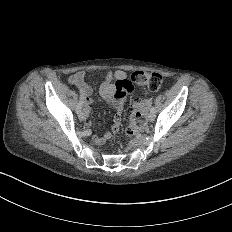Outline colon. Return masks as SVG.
Instances as JSON below:
<instances>
[{
    "label": "colon",
    "mask_w": 232,
    "mask_h": 232,
    "mask_svg": "<svg viewBox=\"0 0 232 232\" xmlns=\"http://www.w3.org/2000/svg\"><path fill=\"white\" fill-rule=\"evenodd\" d=\"M131 78L140 86H148V91L152 92V97H165V92H160L163 91L160 71L134 72ZM131 110L133 116L131 125L128 128V133L131 137L138 138L142 135L143 129L147 125L146 105L143 101L136 100L132 103Z\"/></svg>",
    "instance_id": "colon-1"
}]
</instances>
